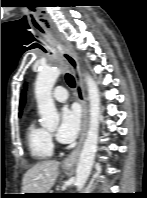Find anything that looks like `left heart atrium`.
Returning <instances> with one entry per match:
<instances>
[{"label":"left heart atrium","instance_id":"left-heart-atrium-1","mask_svg":"<svg viewBox=\"0 0 147 198\" xmlns=\"http://www.w3.org/2000/svg\"><path fill=\"white\" fill-rule=\"evenodd\" d=\"M80 129V112L72 107H64L61 111L60 124L56 131L59 141L68 143L75 139Z\"/></svg>","mask_w":147,"mask_h":198}]
</instances>
